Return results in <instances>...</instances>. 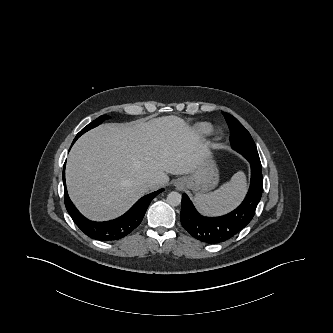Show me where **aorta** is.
I'll list each match as a JSON object with an SVG mask.
<instances>
[{"mask_svg": "<svg viewBox=\"0 0 333 333\" xmlns=\"http://www.w3.org/2000/svg\"><path fill=\"white\" fill-rule=\"evenodd\" d=\"M181 200L182 196L178 192L173 191L167 195V202L171 206H178L181 203Z\"/></svg>", "mask_w": 333, "mask_h": 333, "instance_id": "762f6f07", "label": "aorta"}]
</instances>
